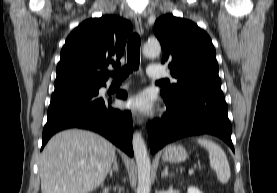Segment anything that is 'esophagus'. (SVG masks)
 <instances>
[{
  "label": "esophagus",
  "instance_id": "1",
  "mask_svg": "<svg viewBox=\"0 0 277 193\" xmlns=\"http://www.w3.org/2000/svg\"><path fill=\"white\" fill-rule=\"evenodd\" d=\"M134 22H135V26H136V29H137L138 33L140 35H142L143 32H144V29H143L142 20H141V17H140L139 14H134ZM133 121L137 125H144L145 124L144 117L139 113H134L133 114Z\"/></svg>",
  "mask_w": 277,
  "mask_h": 193
}]
</instances>
